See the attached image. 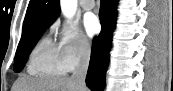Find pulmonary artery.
Wrapping results in <instances>:
<instances>
[{"instance_id": "1", "label": "pulmonary artery", "mask_w": 173, "mask_h": 91, "mask_svg": "<svg viewBox=\"0 0 173 91\" xmlns=\"http://www.w3.org/2000/svg\"><path fill=\"white\" fill-rule=\"evenodd\" d=\"M80 4L84 10H91L95 6V2L93 0H82L80 1Z\"/></svg>"}]
</instances>
